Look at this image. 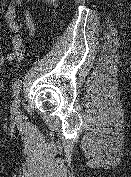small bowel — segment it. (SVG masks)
<instances>
[{"mask_svg":"<svg viewBox=\"0 0 131 177\" xmlns=\"http://www.w3.org/2000/svg\"><path fill=\"white\" fill-rule=\"evenodd\" d=\"M25 0H11L5 13V19L8 29L12 34V48L13 51L7 56V59L18 60L24 56L23 38L20 35V24L17 21V7H24ZM24 18L29 34L33 35L35 32V23L31 14L24 9ZM5 57L0 55V66L4 63Z\"/></svg>","mask_w":131,"mask_h":177,"instance_id":"c3829d8e","label":"small bowel"}]
</instances>
